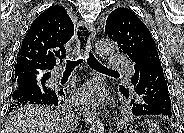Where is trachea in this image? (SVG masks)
I'll return each mask as SVG.
<instances>
[{"mask_svg":"<svg viewBox=\"0 0 184 133\" xmlns=\"http://www.w3.org/2000/svg\"><path fill=\"white\" fill-rule=\"evenodd\" d=\"M83 45H84V42H83ZM66 67L68 68H72V67H75L77 65H79L81 62H83V59L82 58H79L77 60H73V59H68L66 61ZM87 62L88 64L92 67V68H95L99 71H103V72H117L115 70H111V69H108L106 67H104L103 65H101L96 59L95 57L93 56V54L90 52L89 53V57L87 58Z\"/></svg>","mask_w":184,"mask_h":133,"instance_id":"obj_1","label":"trachea"}]
</instances>
